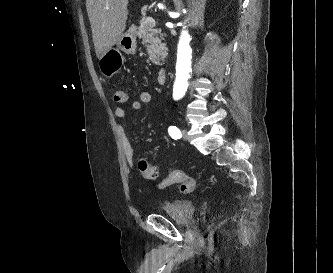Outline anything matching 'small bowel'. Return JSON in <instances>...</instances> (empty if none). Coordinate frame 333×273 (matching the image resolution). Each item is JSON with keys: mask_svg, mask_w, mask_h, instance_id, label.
<instances>
[{"mask_svg": "<svg viewBox=\"0 0 333 273\" xmlns=\"http://www.w3.org/2000/svg\"><path fill=\"white\" fill-rule=\"evenodd\" d=\"M152 101V93L150 91H142L139 93L138 99L131 102V108L134 111H139L142 109L143 105L149 104ZM115 115L119 119H124L128 115V110L125 106H117L115 108ZM120 137L122 142V148L124 151L125 158L130 166H137L138 162H136V150L135 147L127 134L124 128H120ZM140 160V159H139ZM139 170V169H138Z\"/></svg>", "mask_w": 333, "mask_h": 273, "instance_id": "c3829d8e", "label": "small bowel"}]
</instances>
